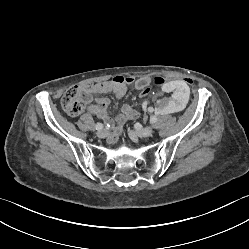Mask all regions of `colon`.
Listing matches in <instances>:
<instances>
[{"label":"colon","mask_w":249,"mask_h":249,"mask_svg":"<svg viewBox=\"0 0 249 249\" xmlns=\"http://www.w3.org/2000/svg\"><path fill=\"white\" fill-rule=\"evenodd\" d=\"M165 82L162 77H155L152 80L154 85H161ZM149 89L143 91V95H147ZM61 105L63 109L70 115L80 114L86 107V99L84 93L78 87H71L67 89L61 98Z\"/></svg>","instance_id":"1"}]
</instances>
